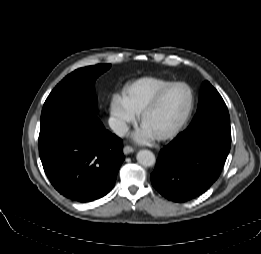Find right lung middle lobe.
<instances>
[{
    "label": "right lung middle lobe",
    "mask_w": 261,
    "mask_h": 254,
    "mask_svg": "<svg viewBox=\"0 0 261 254\" xmlns=\"http://www.w3.org/2000/svg\"><path fill=\"white\" fill-rule=\"evenodd\" d=\"M110 66V64H99L75 70L53 89L44 105L77 101L96 112L95 80L99 75L108 70Z\"/></svg>",
    "instance_id": "dd1d6c3e"
}]
</instances>
